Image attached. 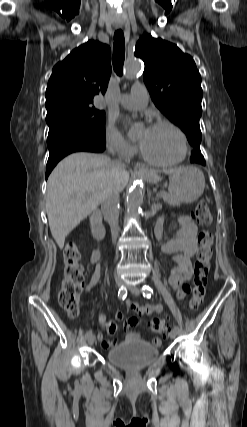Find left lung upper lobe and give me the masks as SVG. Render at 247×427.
<instances>
[{
  "instance_id": "5c2ea615",
  "label": "left lung upper lobe",
  "mask_w": 247,
  "mask_h": 427,
  "mask_svg": "<svg viewBox=\"0 0 247 427\" xmlns=\"http://www.w3.org/2000/svg\"><path fill=\"white\" fill-rule=\"evenodd\" d=\"M135 56L145 63L143 79L155 105L200 151L203 92L193 58L175 44L147 34L137 42Z\"/></svg>"
}]
</instances>
